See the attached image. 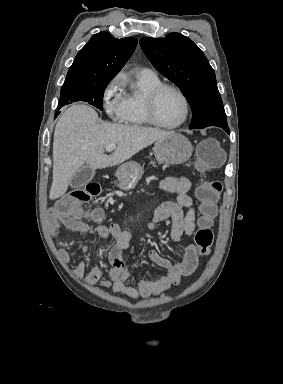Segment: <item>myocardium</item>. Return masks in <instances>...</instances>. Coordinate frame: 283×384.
<instances>
[{
  "mask_svg": "<svg viewBox=\"0 0 283 384\" xmlns=\"http://www.w3.org/2000/svg\"><path fill=\"white\" fill-rule=\"evenodd\" d=\"M165 90H170V91H173L174 93H176L180 97V99L182 100L183 106H184V114H183L182 119L178 123L173 124V125L161 124L157 120L155 113H154V107H155L156 100L160 96V94ZM143 111H144V115L146 117L147 122L150 125H152L153 127L158 128V129H162V130H175V129L180 128L181 126H183L186 123V121L188 120V117H189L190 108H189V102H188L187 97L179 88H177L176 86L171 85V84H159L146 94L144 101H143Z\"/></svg>",
  "mask_w": 283,
  "mask_h": 384,
  "instance_id": "f54148a6",
  "label": "myocardium"
}]
</instances>
